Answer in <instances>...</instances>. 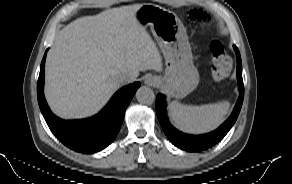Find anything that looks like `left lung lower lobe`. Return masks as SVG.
Instances as JSON below:
<instances>
[{
    "mask_svg": "<svg viewBox=\"0 0 292 184\" xmlns=\"http://www.w3.org/2000/svg\"><path fill=\"white\" fill-rule=\"evenodd\" d=\"M235 49H236L237 59H238L237 75L239 79L240 97L238 99V102L235 106L234 112L232 113L231 117L223 125H221V127L217 129L216 131L206 134V135H201V136H190V135H186V134L178 132L176 129H174L171 126V124L168 122L166 118V113H165L166 102H165L164 96L162 94H158L157 100H156V112H157L158 119L163 128V131L165 132L167 137L170 139V141L176 146L188 151H200V150L206 149L208 147L213 146L218 141H220L235 123L242 106L243 94H244L243 80L241 78V75H242L241 59H240V54L237 48Z\"/></svg>",
    "mask_w": 292,
    "mask_h": 184,
    "instance_id": "1",
    "label": "left lung lower lobe"
}]
</instances>
